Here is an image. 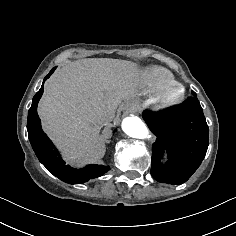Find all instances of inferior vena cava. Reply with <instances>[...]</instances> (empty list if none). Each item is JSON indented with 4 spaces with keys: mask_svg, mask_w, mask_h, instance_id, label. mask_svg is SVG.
<instances>
[{
    "mask_svg": "<svg viewBox=\"0 0 236 236\" xmlns=\"http://www.w3.org/2000/svg\"><path fill=\"white\" fill-rule=\"evenodd\" d=\"M113 118H114V113H108V114H103L101 120L104 123H109L113 120Z\"/></svg>",
    "mask_w": 236,
    "mask_h": 236,
    "instance_id": "inferior-vena-cava-1",
    "label": "inferior vena cava"
}]
</instances>
